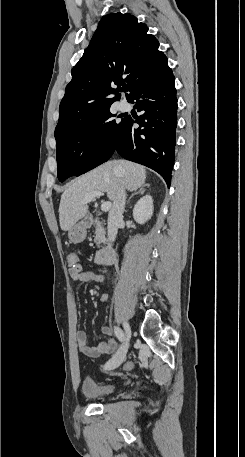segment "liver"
<instances>
[{
    "label": "liver",
    "mask_w": 245,
    "mask_h": 457,
    "mask_svg": "<svg viewBox=\"0 0 245 457\" xmlns=\"http://www.w3.org/2000/svg\"><path fill=\"white\" fill-rule=\"evenodd\" d=\"M119 168V170H114ZM123 178V188L136 190L143 186L146 178L145 166L130 162V160H108L90 172L82 174L61 194L59 206V220L62 231H70L77 220L88 212L87 202H81L86 194L93 190L107 192L110 200H116L119 192L120 180Z\"/></svg>",
    "instance_id": "obj_1"
}]
</instances>
